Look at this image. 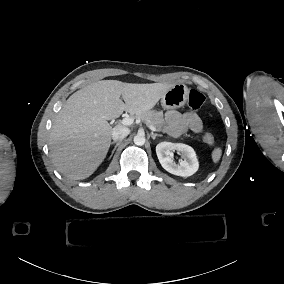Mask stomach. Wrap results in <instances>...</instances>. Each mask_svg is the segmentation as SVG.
<instances>
[{"label": "stomach", "mask_w": 284, "mask_h": 284, "mask_svg": "<svg viewBox=\"0 0 284 284\" xmlns=\"http://www.w3.org/2000/svg\"><path fill=\"white\" fill-rule=\"evenodd\" d=\"M189 93L190 91L186 84H176L161 99L162 108L164 110H175L184 107L189 99Z\"/></svg>", "instance_id": "stomach-1"}]
</instances>
